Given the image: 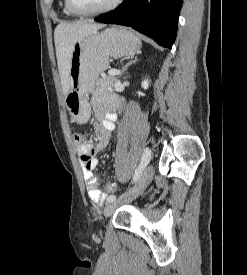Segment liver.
<instances>
[{
  "label": "liver",
  "instance_id": "obj_1",
  "mask_svg": "<svg viewBox=\"0 0 247 275\" xmlns=\"http://www.w3.org/2000/svg\"><path fill=\"white\" fill-rule=\"evenodd\" d=\"M105 24L87 21L60 23L54 31L57 64L64 95L70 90V59L75 43L83 37L96 33Z\"/></svg>",
  "mask_w": 247,
  "mask_h": 275
}]
</instances>
